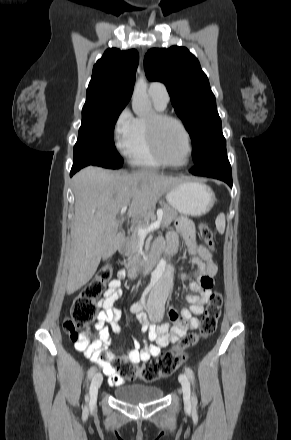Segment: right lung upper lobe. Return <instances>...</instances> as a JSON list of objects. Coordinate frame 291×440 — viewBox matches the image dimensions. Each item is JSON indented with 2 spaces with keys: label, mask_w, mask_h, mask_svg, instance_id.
<instances>
[{
  "label": "right lung upper lobe",
  "mask_w": 291,
  "mask_h": 440,
  "mask_svg": "<svg viewBox=\"0 0 291 440\" xmlns=\"http://www.w3.org/2000/svg\"><path fill=\"white\" fill-rule=\"evenodd\" d=\"M139 55L135 49H107L93 67L85 104L129 102Z\"/></svg>",
  "instance_id": "right-lung-upper-lobe-1"
}]
</instances>
